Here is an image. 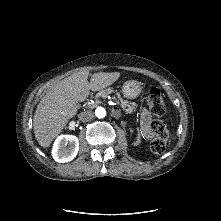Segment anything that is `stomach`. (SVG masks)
<instances>
[{
    "mask_svg": "<svg viewBox=\"0 0 221 221\" xmlns=\"http://www.w3.org/2000/svg\"><path fill=\"white\" fill-rule=\"evenodd\" d=\"M142 91L141 83L136 80H129L124 83L122 92L123 95L128 99L137 98Z\"/></svg>",
    "mask_w": 221,
    "mask_h": 221,
    "instance_id": "1",
    "label": "stomach"
}]
</instances>
